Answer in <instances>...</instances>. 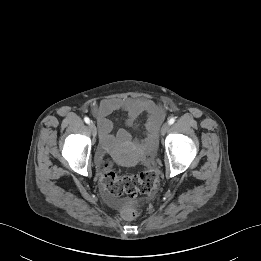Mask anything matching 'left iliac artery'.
I'll use <instances>...</instances> for the list:
<instances>
[{
  "label": "left iliac artery",
  "mask_w": 261,
  "mask_h": 261,
  "mask_svg": "<svg viewBox=\"0 0 261 261\" xmlns=\"http://www.w3.org/2000/svg\"><path fill=\"white\" fill-rule=\"evenodd\" d=\"M174 122H175V118H170L169 121H168V123H169L170 125H172Z\"/></svg>",
  "instance_id": "obj_1"
}]
</instances>
